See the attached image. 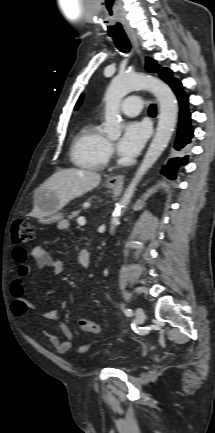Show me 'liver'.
Returning <instances> with one entry per match:
<instances>
[{"mask_svg":"<svg viewBox=\"0 0 215 433\" xmlns=\"http://www.w3.org/2000/svg\"><path fill=\"white\" fill-rule=\"evenodd\" d=\"M100 181L101 176L98 173L83 169L69 168L56 171L40 188L54 192L58 207L61 209L72 199L78 198L97 187ZM31 216H41L35 204Z\"/></svg>","mask_w":215,"mask_h":433,"instance_id":"1","label":"liver"}]
</instances>
